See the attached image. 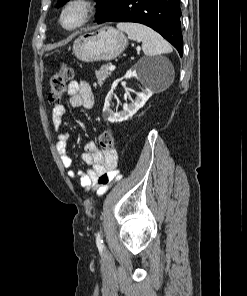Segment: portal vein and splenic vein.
Returning a JSON list of instances; mask_svg holds the SVG:
<instances>
[{"mask_svg": "<svg viewBox=\"0 0 247 296\" xmlns=\"http://www.w3.org/2000/svg\"><path fill=\"white\" fill-rule=\"evenodd\" d=\"M115 68H116L115 65H113V64H110V65H109V70H110V71H113Z\"/></svg>", "mask_w": 247, "mask_h": 296, "instance_id": "obj_1", "label": "portal vein and splenic vein"}]
</instances>
